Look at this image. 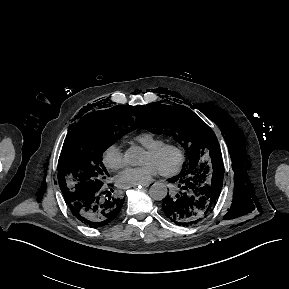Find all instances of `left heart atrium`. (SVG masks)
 Listing matches in <instances>:
<instances>
[{
    "label": "left heart atrium",
    "mask_w": 289,
    "mask_h": 289,
    "mask_svg": "<svg viewBox=\"0 0 289 289\" xmlns=\"http://www.w3.org/2000/svg\"><path fill=\"white\" fill-rule=\"evenodd\" d=\"M158 172V168L153 164L128 167L116 176L115 182L120 188L137 187L148 184Z\"/></svg>",
    "instance_id": "39dd6f15"
}]
</instances>
